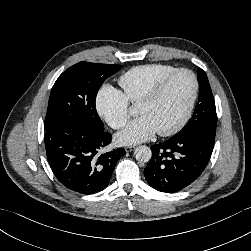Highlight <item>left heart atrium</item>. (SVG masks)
<instances>
[{"mask_svg": "<svg viewBox=\"0 0 251 251\" xmlns=\"http://www.w3.org/2000/svg\"><path fill=\"white\" fill-rule=\"evenodd\" d=\"M156 132V128L149 118L140 116L118 133L116 140L120 145H133L150 139Z\"/></svg>", "mask_w": 251, "mask_h": 251, "instance_id": "1", "label": "left heart atrium"}]
</instances>
